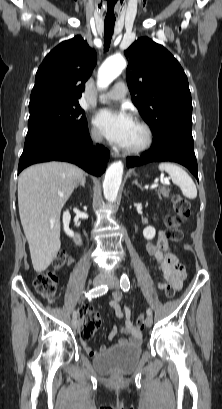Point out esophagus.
<instances>
[{
	"mask_svg": "<svg viewBox=\"0 0 222 409\" xmlns=\"http://www.w3.org/2000/svg\"><path fill=\"white\" fill-rule=\"evenodd\" d=\"M111 156H112V157H114V158H116V157H118V156H119V154H118V153H116V152H113V151H112V152H111Z\"/></svg>",
	"mask_w": 222,
	"mask_h": 409,
	"instance_id": "obj_1",
	"label": "esophagus"
}]
</instances>
